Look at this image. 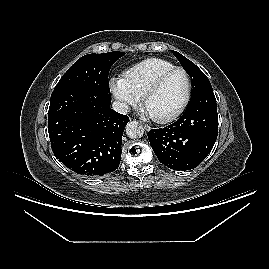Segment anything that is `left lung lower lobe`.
I'll return each mask as SVG.
<instances>
[{
    "label": "left lung lower lobe",
    "instance_id": "1",
    "mask_svg": "<svg viewBox=\"0 0 269 269\" xmlns=\"http://www.w3.org/2000/svg\"><path fill=\"white\" fill-rule=\"evenodd\" d=\"M159 161L174 170L197 167L211 152L218 135L217 104L212 87L192 96L173 124L148 132Z\"/></svg>",
    "mask_w": 269,
    "mask_h": 269
}]
</instances>
